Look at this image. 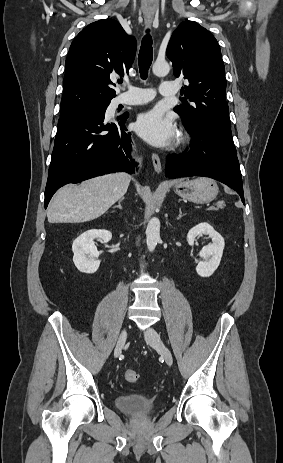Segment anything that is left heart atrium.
Segmentation results:
<instances>
[{"mask_svg": "<svg viewBox=\"0 0 283 463\" xmlns=\"http://www.w3.org/2000/svg\"><path fill=\"white\" fill-rule=\"evenodd\" d=\"M136 131L144 140L155 146L168 145L176 134L172 120L156 109L138 117Z\"/></svg>", "mask_w": 283, "mask_h": 463, "instance_id": "39dd6f15", "label": "left heart atrium"}]
</instances>
